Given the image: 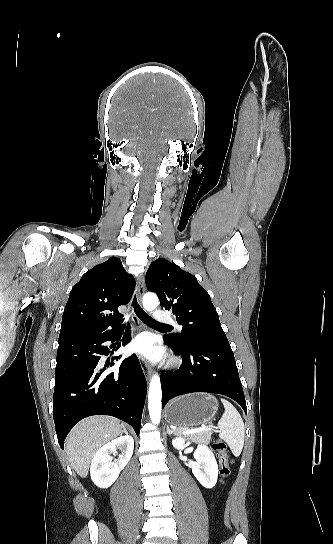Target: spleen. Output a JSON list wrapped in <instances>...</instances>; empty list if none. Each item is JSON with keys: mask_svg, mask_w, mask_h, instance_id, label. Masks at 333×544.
<instances>
[{"mask_svg": "<svg viewBox=\"0 0 333 544\" xmlns=\"http://www.w3.org/2000/svg\"><path fill=\"white\" fill-rule=\"evenodd\" d=\"M225 412L218 422L219 437L230 447L234 456H239L244 446V422L237 409L225 399H221Z\"/></svg>", "mask_w": 333, "mask_h": 544, "instance_id": "obj_1", "label": "spleen"}]
</instances>
